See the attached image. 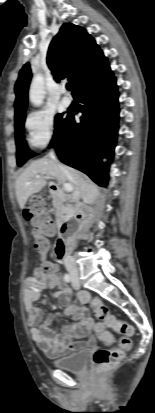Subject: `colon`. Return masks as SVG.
<instances>
[{"label": "colon", "instance_id": "5ec220e1", "mask_svg": "<svg viewBox=\"0 0 155 413\" xmlns=\"http://www.w3.org/2000/svg\"><path fill=\"white\" fill-rule=\"evenodd\" d=\"M33 199L29 205L23 209L22 214L25 220L33 227L34 249L44 260L42 270L46 274L53 271L52 264L46 261L49 250V241L43 235V229L50 227V219L45 207V192H34ZM91 309L100 321L113 328L117 333L123 335L117 346L110 348H100L93 356L94 363L100 372H106L114 368L122 360L126 351L131 349L130 336L133 334L132 326L124 319L111 314L109 308L99 299H92Z\"/></svg>", "mask_w": 155, "mask_h": 413}]
</instances>
